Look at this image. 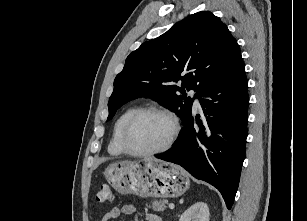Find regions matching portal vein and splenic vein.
Listing matches in <instances>:
<instances>
[{
  "instance_id": "portal-vein-and-splenic-vein-1",
  "label": "portal vein and splenic vein",
  "mask_w": 307,
  "mask_h": 221,
  "mask_svg": "<svg viewBox=\"0 0 307 221\" xmlns=\"http://www.w3.org/2000/svg\"><path fill=\"white\" fill-rule=\"evenodd\" d=\"M168 206H169L170 209H174L175 208L173 203H170Z\"/></svg>"
}]
</instances>
